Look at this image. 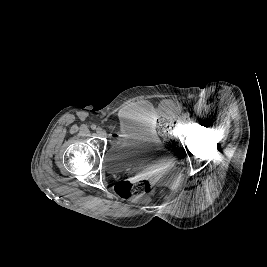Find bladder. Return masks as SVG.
I'll list each match as a JSON object with an SVG mask.
<instances>
[{
	"label": "bladder",
	"mask_w": 267,
	"mask_h": 267,
	"mask_svg": "<svg viewBox=\"0 0 267 267\" xmlns=\"http://www.w3.org/2000/svg\"><path fill=\"white\" fill-rule=\"evenodd\" d=\"M158 136L154 133L125 135L107 150L105 167L110 173L138 169L155 157Z\"/></svg>",
	"instance_id": "bladder-1"
}]
</instances>
